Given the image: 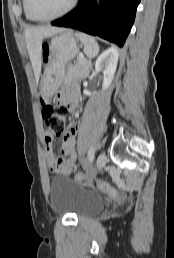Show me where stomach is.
Returning a JSON list of instances; mask_svg holds the SVG:
<instances>
[{
    "mask_svg": "<svg viewBox=\"0 0 174 258\" xmlns=\"http://www.w3.org/2000/svg\"><path fill=\"white\" fill-rule=\"evenodd\" d=\"M78 52V41L71 31L62 32L51 38L48 44V60L41 79V95L44 100L49 101L59 88L64 79L65 66Z\"/></svg>",
    "mask_w": 174,
    "mask_h": 258,
    "instance_id": "obj_1",
    "label": "stomach"
}]
</instances>
